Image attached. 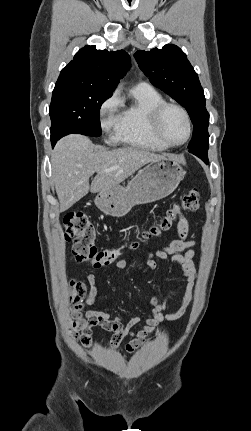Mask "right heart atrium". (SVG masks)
Segmentation results:
<instances>
[{"label": "right heart atrium", "mask_w": 251, "mask_h": 431, "mask_svg": "<svg viewBox=\"0 0 251 431\" xmlns=\"http://www.w3.org/2000/svg\"><path fill=\"white\" fill-rule=\"evenodd\" d=\"M120 100L116 93H112L106 98L99 106L98 116L99 123L105 133H112L115 131L118 122V108Z\"/></svg>", "instance_id": "obj_1"}]
</instances>
